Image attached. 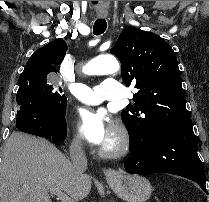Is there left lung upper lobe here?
I'll return each instance as SVG.
<instances>
[{"label":"left lung upper lobe","mask_w":209,"mask_h":202,"mask_svg":"<svg viewBox=\"0 0 209 202\" xmlns=\"http://www.w3.org/2000/svg\"><path fill=\"white\" fill-rule=\"evenodd\" d=\"M122 66V80L138 89L134 105L122 111L130 140L150 142L192 126L176 54L157 34L126 27L110 50Z\"/></svg>","instance_id":"left-lung-upper-lobe-1"}]
</instances>
